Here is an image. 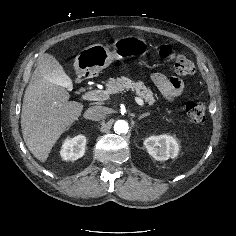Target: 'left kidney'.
Returning <instances> with one entry per match:
<instances>
[{
  "label": "left kidney",
  "mask_w": 236,
  "mask_h": 236,
  "mask_svg": "<svg viewBox=\"0 0 236 236\" xmlns=\"http://www.w3.org/2000/svg\"><path fill=\"white\" fill-rule=\"evenodd\" d=\"M147 152L159 161L177 157L179 144L177 140L169 135L151 136L144 141Z\"/></svg>",
  "instance_id": "obj_1"
}]
</instances>
